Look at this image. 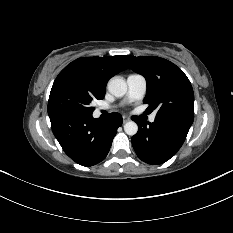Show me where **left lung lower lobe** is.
I'll use <instances>...</instances> for the list:
<instances>
[{
	"label": "left lung lower lobe",
	"mask_w": 233,
	"mask_h": 233,
	"mask_svg": "<svg viewBox=\"0 0 233 233\" xmlns=\"http://www.w3.org/2000/svg\"><path fill=\"white\" fill-rule=\"evenodd\" d=\"M132 120L139 126L132 137L133 148L142 161L152 165L162 164L174 156L192 125L167 116H156L155 121L148 124L136 116Z\"/></svg>",
	"instance_id": "left-lung-lower-lobe-1"
}]
</instances>
